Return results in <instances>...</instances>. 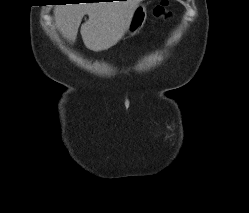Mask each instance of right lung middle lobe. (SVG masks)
<instances>
[{"mask_svg":"<svg viewBox=\"0 0 249 213\" xmlns=\"http://www.w3.org/2000/svg\"><path fill=\"white\" fill-rule=\"evenodd\" d=\"M62 3H67V2H76L77 0H60Z\"/></svg>","mask_w":249,"mask_h":213,"instance_id":"obj_1","label":"right lung middle lobe"}]
</instances>
